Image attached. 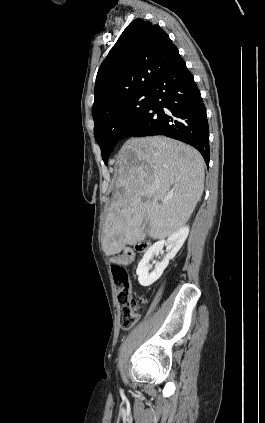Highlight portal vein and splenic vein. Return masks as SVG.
<instances>
[{"instance_id":"obj_1","label":"portal vein and splenic vein","mask_w":265,"mask_h":423,"mask_svg":"<svg viewBox=\"0 0 265 423\" xmlns=\"http://www.w3.org/2000/svg\"><path fill=\"white\" fill-rule=\"evenodd\" d=\"M167 200H168V198L164 199L162 202H164V203H165V202H167Z\"/></svg>"}]
</instances>
